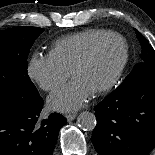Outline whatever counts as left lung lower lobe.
I'll return each mask as SVG.
<instances>
[{
  "mask_svg": "<svg viewBox=\"0 0 155 155\" xmlns=\"http://www.w3.org/2000/svg\"><path fill=\"white\" fill-rule=\"evenodd\" d=\"M100 155H148L155 147V72L121 84L95 108Z\"/></svg>",
  "mask_w": 155,
  "mask_h": 155,
  "instance_id": "0a47b994",
  "label": "left lung lower lobe"
}]
</instances>
